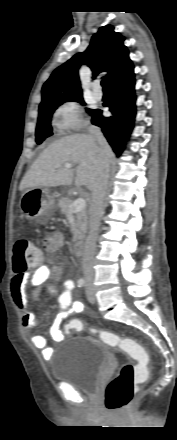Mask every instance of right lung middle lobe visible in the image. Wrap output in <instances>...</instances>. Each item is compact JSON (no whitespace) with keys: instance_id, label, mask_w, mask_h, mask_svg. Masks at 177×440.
<instances>
[{"instance_id":"right-lung-middle-lobe-1","label":"right lung middle lobe","mask_w":177,"mask_h":440,"mask_svg":"<svg viewBox=\"0 0 177 440\" xmlns=\"http://www.w3.org/2000/svg\"><path fill=\"white\" fill-rule=\"evenodd\" d=\"M67 101H75L79 102L82 105H85L83 97H73L64 100H59L56 102L42 104L39 106V115H38V123L36 127V142L37 144H41L47 137L53 135L52 127H51V117L54 111L60 106L62 103ZM92 110L87 109V112L90 113Z\"/></svg>"}]
</instances>
